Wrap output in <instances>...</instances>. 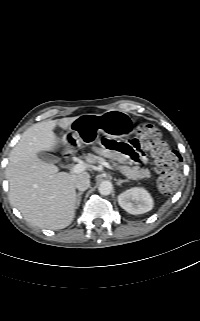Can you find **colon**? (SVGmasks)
I'll use <instances>...</instances> for the list:
<instances>
[{
	"label": "colon",
	"instance_id": "1",
	"mask_svg": "<svg viewBox=\"0 0 200 321\" xmlns=\"http://www.w3.org/2000/svg\"><path fill=\"white\" fill-rule=\"evenodd\" d=\"M145 149L154 161V168L158 174V186L164 193L175 191L181 181L179 167L180 155L172 150L162 139L160 131L153 125L143 124L137 131Z\"/></svg>",
	"mask_w": 200,
	"mask_h": 321
}]
</instances>
